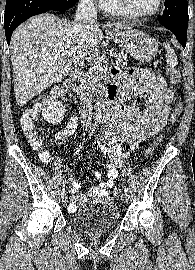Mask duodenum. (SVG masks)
Here are the masks:
<instances>
[{
    "mask_svg": "<svg viewBox=\"0 0 195 270\" xmlns=\"http://www.w3.org/2000/svg\"><path fill=\"white\" fill-rule=\"evenodd\" d=\"M70 83L72 86L73 91L77 94V96L82 100L85 101L91 98L92 94L87 85L81 78V70L79 67L75 68L70 77ZM102 102L112 107L116 104L118 99L117 88L115 84L111 81L107 82L105 85L102 94L100 95Z\"/></svg>",
    "mask_w": 195,
    "mask_h": 270,
    "instance_id": "1",
    "label": "duodenum"
}]
</instances>
